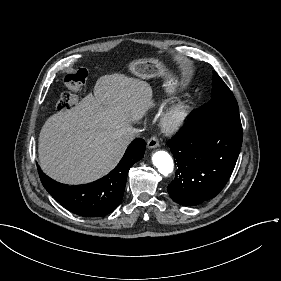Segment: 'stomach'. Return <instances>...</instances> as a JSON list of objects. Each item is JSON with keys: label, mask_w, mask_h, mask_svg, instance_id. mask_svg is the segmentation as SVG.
I'll list each match as a JSON object with an SVG mask.
<instances>
[{"label": "stomach", "mask_w": 281, "mask_h": 281, "mask_svg": "<svg viewBox=\"0 0 281 281\" xmlns=\"http://www.w3.org/2000/svg\"><path fill=\"white\" fill-rule=\"evenodd\" d=\"M130 71L142 79L165 76L166 86L173 90L179 83L178 79L169 73L166 67L156 58H142L129 64ZM182 84V83H181Z\"/></svg>", "instance_id": "stomach-1"}]
</instances>
